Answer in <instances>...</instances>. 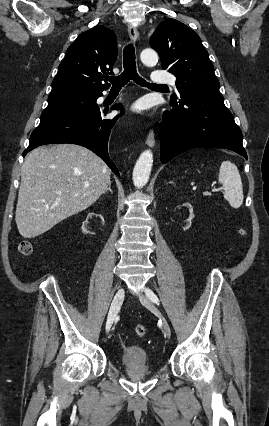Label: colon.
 Returning <instances> with one entry per match:
<instances>
[{"mask_svg":"<svg viewBox=\"0 0 269 426\" xmlns=\"http://www.w3.org/2000/svg\"><path fill=\"white\" fill-rule=\"evenodd\" d=\"M240 234L245 235V230L241 229ZM18 251L22 255H29L33 251V243L31 241H28V240H24V241L20 242L19 245H18ZM147 333H148V330H147V327L145 325L137 324L135 326V334L138 337H145L147 335Z\"/></svg>","mask_w":269,"mask_h":426,"instance_id":"5ec220e1","label":"colon"}]
</instances>
